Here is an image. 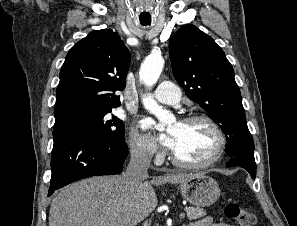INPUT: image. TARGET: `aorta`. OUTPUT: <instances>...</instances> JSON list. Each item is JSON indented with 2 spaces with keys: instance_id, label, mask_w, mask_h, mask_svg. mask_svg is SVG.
I'll list each match as a JSON object with an SVG mask.
<instances>
[{
  "instance_id": "1",
  "label": "aorta",
  "mask_w": 297,
  "mask_h": 226,
  "mask_svg": "<svg viewBox=\"0 0 297 226\" xmlns=\"http://www.w3.org/2000/svg\"><path fill=\"white\" fill-rule=\"evenodd\" d=\"M164 66V60L160 55H152L145 59L141 65L139 77L140 80L147 86H153ZM143 105L150 113L154 114L160 121L159 130L163 129V124L167 121L168 115L158 103L152 98L143 99Z\"/></svg>"
}]
</instances>
